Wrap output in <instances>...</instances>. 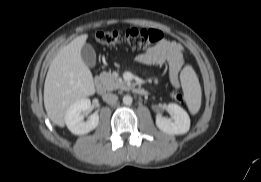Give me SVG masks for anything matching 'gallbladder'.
I'll return each instance as SVG.
<instances>
[{
  "mask_svg": "<svg viewBox=\"0 0 261 182\" xmlns=\"http://www.w3.org/2000/svg\"><path fill=\"white\" fill-rule=\"evenodd\" d=\"M81 56L89 68H93L96 65V53L90 44L86 43L82 46Z\"/></svg>",
  "mask_w": 261,
  "mask_h": 182,
  "instance_id": "gallbladder-1",
  "label": "gallbladder"
}]
</instances>
